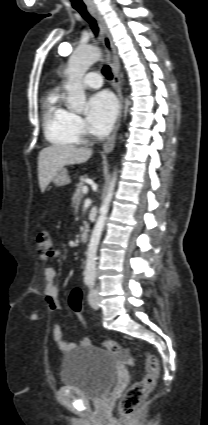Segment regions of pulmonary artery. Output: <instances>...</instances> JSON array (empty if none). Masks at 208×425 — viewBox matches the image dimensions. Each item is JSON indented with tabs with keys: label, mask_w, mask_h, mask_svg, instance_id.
Listing matches in <instances>:
<instances>
[{
	"label": "pulmonary artery",
	"mask_w": 208,
	"mask_h": 425,
	"mask_svg": "<svg viewBox=\"0 0 208 425\" xmlns=\"http://www.w3.org/2000/svg\"><path fill=\"white\" fill-rule=\"evenodd\" d=\"M86 88L97 89L102 86V78L97 72L88 73L83 79Z\"/></svg>",
	"instance_id": "1"
}]
</instances>
